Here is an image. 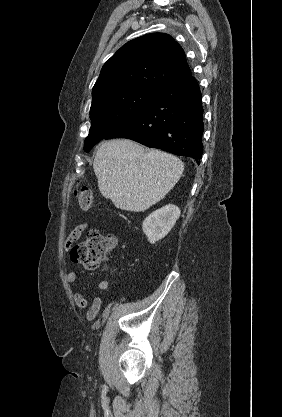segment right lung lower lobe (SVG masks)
I'll return each mask as SVG.
<instances>
[{"label":"right lung lower lobe","mask_w":282,"mask_h":417,"mask_svg":"<svg viewBox=\"0 0 282 417\" xmlns=\"http://www.w3.org/2000/svg\"><path fill=\"white\" fill-rule=\"evenodd\" d=\"M203 108L191 76L171 83L104 139L128 138L145 146L194 158L202 156Z\"/></svg>","instance_id":"98d812e1"}]
</instances>
